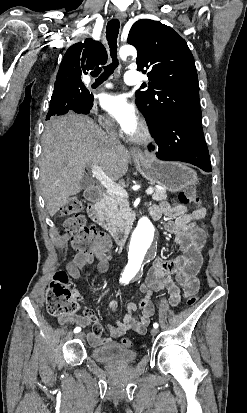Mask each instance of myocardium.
Returning a JSON list of instances; mask_svg holds the SVG:
<instances>
[{
  "instance_id": "myocardium-1",
  "label": "myocardium",
  "mask_w": 247,
  "mask_h": 413,
  "mask_svg": "<svg viewBox=\"0 0 247 413\" xmlns=\"http://www.w3.org/2000/svg\"><path fill=\"white\" fill-rule=\"evenodd\" d=\"M154 139V132L151 125L147 122L142 123L141 125V133L139 135H135L132 138V141L139 145H146L152 142Z\"/></svg>"
}]
</instances>
